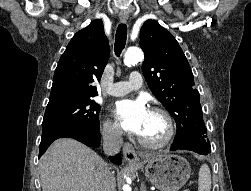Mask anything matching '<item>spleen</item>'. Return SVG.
<instances>
[{
    "instance_id": "1",
    "label": "spleen",
    "mask_w": 251,
    "mask_h": 191,
    "mask_svg": "<svg viewBox=\"0 0 251 191\" xmlns=\"http://www.w3.org/2000/svg\"><path fill=\"white\" fill-rule=\"evenodd\" d=\"M198 175V191H210L212 179L210 167L207 163H202Z\"/></svg>"
}]
</instances>
